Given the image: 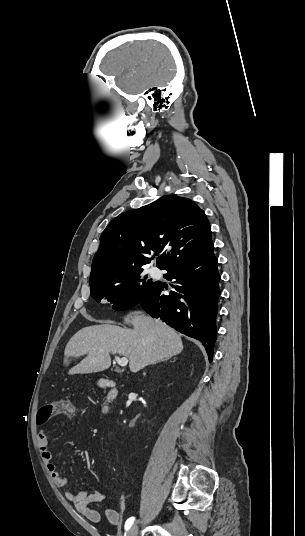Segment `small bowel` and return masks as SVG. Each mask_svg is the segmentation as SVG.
I'll list each match as a JSON object with an SVG mask.
<instances>
[{"instance_id": "small-bowel-1", "label": "small bowel", "mask_w": 305, "mask_h": 536, "mask_svg": "<svg viewBox=\"0 0 305 536\" xmlns=\"http://www.w3.org/2000/svg\"><path fill=\"white\" fill-rule=\"evenodd\" d=\"M40 433L42 435H36V439L41 457L46 465V469L55 485L60 488H64L67 485V478L58 471L54 462V455L49 449L48 437L45 435L47 430L42 428ZM104 496V492L100 488L96 489L91 494H88L85 489L77 492L70 490L65 492L66 499L74 505L77 512L95 523L100 522L101 515L98 511L92 508V504L101 502L104 499ZM105 516L109 523L113 526H117L120 523V514L115 509L106 508Z\"/></svg>"}]
</instances>
